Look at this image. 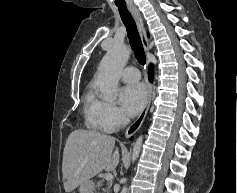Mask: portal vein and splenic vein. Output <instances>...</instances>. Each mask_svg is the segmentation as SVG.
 Here are the masks:
<instances>
[{"mask_svg": "<svg viewBox=\"0 0 237 193\" xmlns=\"http://www.w3.org/2000/svg\"><path fill=\"white\" fill-rule=\"evenodd\" d=\"M104 178L106 181H111L113 179V175L111 173H107L105 174Z\"/></svg>", "mask_w": 237, "mask_h": 193, "instance_id": "1", "label": "portal vein and splenic vein"}]
</instances>
